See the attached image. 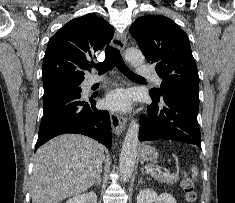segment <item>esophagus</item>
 Returning <instances> with one entry per match:
<instances>
[{
    "label": "esophagus",
    "instance_id": "obj_1",
    "mask_svg": "<svg viewBox=\"0 0 235 203\" xmlns=\"http://www.w3.org/2000/svg\"><path fill=\"white\" fill-rule=\"evenodd\" d=\"M112 46L114 48H118L121 52L124 51L126 46V34L119 35L118 33H115L113 39H112ZM110 120L112 129L116 134H121L126 129V119L122 116L110 112Z\"/></svg>",
    "mask_w": 235,
    "mask_h": 203
}]
</instances>
